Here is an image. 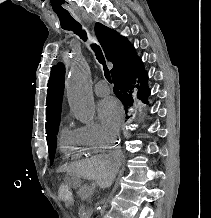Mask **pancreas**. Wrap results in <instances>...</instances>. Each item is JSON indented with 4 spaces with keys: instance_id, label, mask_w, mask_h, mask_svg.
<instances>
[{
    "instance_id": "cf45deb5",
    "label": "pancreas",
    "mask_w": 211,
    "mask_h": 218,
    "mask_svg": "<svg viewBox=\"0 0 211 218\" xmlns=\"http://www.w3.org/2000/svg\"><path fill=\"white\" fill-rule=\"evenodd\" d=\"M78 195H83V200H92V186H81V190L77 191Z\"/></svg>"
}]
</instances>
